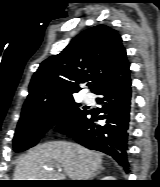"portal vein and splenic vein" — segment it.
I'll list each match as a JSON object with an SVG mask.
<instances>
[{"instance_id":"portal-vein-and-splenic-vein-1","label":"portal vein and splenic vein","mask_w":160,"mask_h":187,"mask_svg":"<svg viewBox=\"0 0 160 187\" xmlns=\"http://www.w3.org/2000/svg\"><path fill=\"white\" fill-rule=\"evenodd\" d=\"M59 171H61V169H59ZM61 177H65L64 175H60Z\"/></svg>"}]
</instances>
